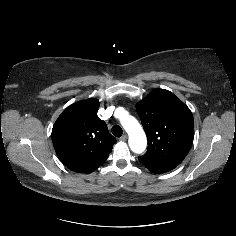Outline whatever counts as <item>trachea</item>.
<instances>
[{
  "label": "trachea",
  "mask_w": 236,
  "mask_h": 236,
  "mask_svg": "<svg viewBox=\"0 0 236 236\" xmlns=\"http://www.w3.org/2000/svg\"><path fill=\"white\" fill-rule=\"evenodd\" d=\"M112 134L115 136V137H121L122 136V134H123V130H122V128L120 127V126H118V125H114L113 127H112Z\"/></svg>",
  "instance_id": "1"
}]
</instances>
